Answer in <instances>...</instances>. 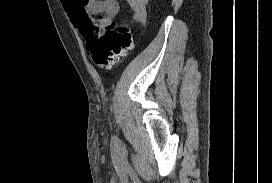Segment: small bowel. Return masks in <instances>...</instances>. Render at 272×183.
<instances>
[{"mask_svg":"<svg viewBox=\"0 0 272 183\" xmlns=\"http://www.w3.org/2000/svg\"><path fill=\"white\" fill-rule=\"evenodd\" d=\"M134 11V21L146 18L148 0H124ZM71 21L86 41H90L109 28L119 12L117 0H62Z\"/></svg>","mask_w":272,"mask_h":183,"instance_id":"1","label":"small bowel"}]
</instances>
